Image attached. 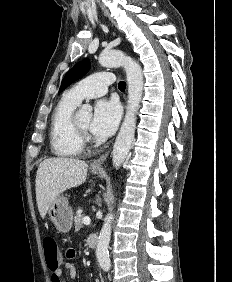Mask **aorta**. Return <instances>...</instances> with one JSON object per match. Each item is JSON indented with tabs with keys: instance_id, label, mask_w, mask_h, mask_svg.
<instances>
[{
	"instance_id": "1",
	"label": "aorta",
	"mask_w": 232,
	"mask_h": 282,
	"mask_svg": "<svg viewBox=\"0 0 232 282\" xmlns=\"http://www.w3.org/2000/svg\"><path fill=\"white\" fill-rule=\"evenodd\" d=\"M99 63L103 67L123 66L128 82V100L124 121L114 143L112 151L113 166L118 169L128 155L134 140L136 128V113L143 93V73L140 65L124 52L119 50H105L99 56ZM84 111H91L89 105L83 106ZM113 214L109 212L100 231L96 256L102 270L109 271L111 262L109 258V242L111 238Z\"/></svg>"
}]
</instances>
